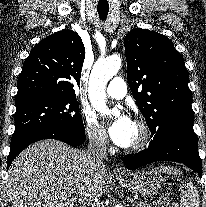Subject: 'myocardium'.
<instances>
[{
    "label": "myocardium",
    "instance_id": "1",
    "mask_svg": "<svg viewBox=\"0 0 206 207\" xmlns=\"http://www.w3.org/2000/svg\"><path fill=\"white\" fill-rule=\"evenodd\" d=\"M134 123L138 126L140 130V138L136 143L128 146L125 150L127 152H138L145 149L152 137V132L150 126L141 118L135 119Z\"/></svg>",
    "mask_w": 206,
    "mask_h": 207
}]
</instances>
